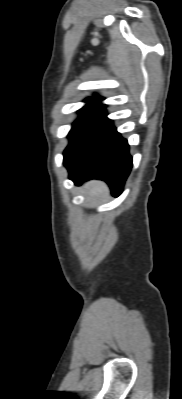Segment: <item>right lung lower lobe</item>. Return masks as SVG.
Listing matches in <instances>:
<instances>
[{
	"instance_id": "1",
	"label": "right lung lower lobe",
	"mask_w": 182,
	"mask_h": 399,
	"mask_svg": "<svg viewBox=\"0 0 182 399\" xmlns=\"http://www.w3.org/2000/svg\"><path fill=\"white\" fill-rule=\"evenodd\" d=\"M104 108L78 125L70 134L64 151L69 179L80 185L84 180L101 179L119 196L132 168L129 145L117 132Z\"/></svg>"
}]
</instances>
